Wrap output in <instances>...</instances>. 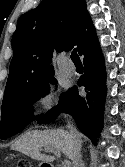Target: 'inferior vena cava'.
<instances>
[{"label": "inferior vena cava", "instance_id": "obj_1", "mask_svg": "<svg viewBox=\"0 0 125 167\" xmlns=\"http://www.w3.org/2000/svg\"><path fill=\"white\" fill-rule=\"evenodd\" d=\"M68 129L70 136L73 140V145H74V157H73V167H79V160H80V150H81V135L77 131V129L68 122Z\"/></svg>", "mask_w": 125, "mask_h": 167}]
</instances>
